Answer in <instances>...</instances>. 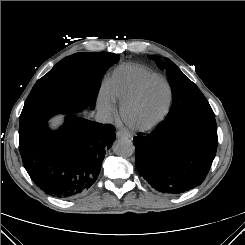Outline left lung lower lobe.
Instances as JSON below:
<instances>
[{
  "label": "left lung lower lobe",
  "instance_id": "obj_1",
  "mask_svg": "<svg viewBox=\"0 0 245 245\" xmlns=\"http://www.w3.org/2000/svg\"><path fill=\"white\" fill-rule=\"evenodd\" d=\"M136 168L155 190L179 194L200 185L216 155L215 115L183 111L136 137Z\"/></svg>",
  "mask_w": 245,
  "mask_h": 245
}]
</instances>
